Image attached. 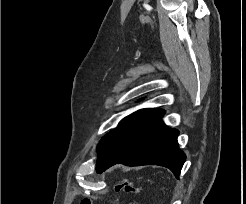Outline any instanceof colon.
<instances>
[{
    "mask_svg": "<svg viewBox=\"0 0 246 204\" xmlns=\"http://www.w3.org/2000/svg\"><path fill=\"white\" fill-rule=\"evenodd\" d=\"M115 189L117 191H124L127 194H136L138 192L137 185L129 179L119 180L115 185ZM80 204H92V202L89 198H84Z\"/></svg>",
    "mask_w": 246,
    "mask_h": 204,
    "instance_id": "1",
    "label": "colon"
}]
</instances>
